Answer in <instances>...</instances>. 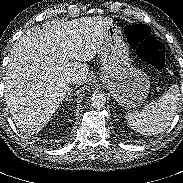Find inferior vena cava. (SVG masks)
<instances>
[{"label": "inferior vena cava", "instance_id": "inferior-vena-cava-1", "mask_svg": "<svg viewBox=\"0 0 183 183\" xmlns=\"http://www.w3.org/2000/svg\"><path fill=\"white\" fill-rule=\"evenodd\" d=\"M67 81L69 84H81L82 79L79 74L72 73L68 76Z\"/></svg>", "mask_w": 183, "mask_h": 183}]
</instances>
